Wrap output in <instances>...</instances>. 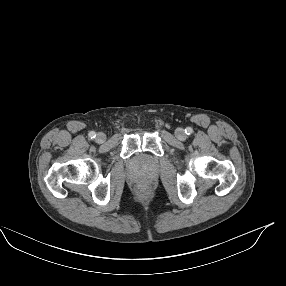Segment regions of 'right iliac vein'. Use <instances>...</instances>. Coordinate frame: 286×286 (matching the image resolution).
Instances as JSON below:
<instances>
[{
    "label": "right iliac vein",
    "mask_w": 286,
    "mask_h": 286,
    "mask_svg": "<svg viewBox=\"0 0 286 286\" xmlns=\"http://www.w3.org/2000/svg\"><path fill=\"white\" fill-rule=\"evenodd\" d=\"M105 140H106V135H105L104 133L100 132V133L97 134V136H96V141H97L98 143H100V144H101V143H104Z\"/></svg>",
    "instance_id": "right-iliac-vein-1"
}]
</instances>
